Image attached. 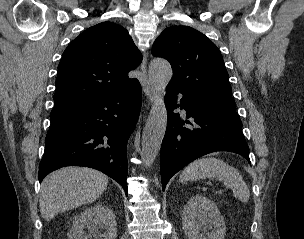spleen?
Instances as JSON below:
<instances>
[{"label": "spleen", "instance_id": "3e777b00", "mask_svg": "<svg viewBox=\"0 0 304 239\" xmlns=\"http://www.w3.org/2000/svg\"><path fill=\"white\" fill-rule=\"evenodd\" d=\"M222 181L227 188L233 190L234 196L246 203L250 197L247 184L237 169L218 158H200L189 164L181 173V181H196L200 179Z\"/></svg>", "mask_w": 304, "mask_h": 239}]
</instances>
